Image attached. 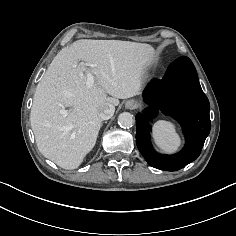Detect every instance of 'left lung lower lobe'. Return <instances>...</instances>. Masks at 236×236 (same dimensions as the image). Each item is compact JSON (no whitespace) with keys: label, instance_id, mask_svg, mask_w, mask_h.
Masks as SVG:
<instances>
[{"label":"left lung lower lobe","instance_id":"0a47b994","mask_svg":"<svg viewBox=\"0 0 236 236\" xmlns=\"http://www.w3.org/2000/svg\"><path fill=\"white\" fill-rule=\"evenodd\" d=\"M149 105L136 116V144L152 167L176 171L198 158L211 128L210 104L202 91L192 61L182 56L167 69L162 80L148 85L143 92ZM158 111L177 120L186 138L184 148L174 155L155 152L150 144L148 118Z\"/></svg>","mask_w":236,"mask_h":236}]
</instances>
